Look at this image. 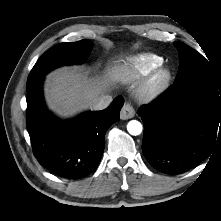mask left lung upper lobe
Here are the masks:
<instances>
[{
	"mask_svg": "<svg viewBox=\"0 0 221 221\" xmlns=\"http://www.w3.org/2000/svg\"><path fill=\"white\" fill-rule=\"evenodd\" d=\"M174 45L178 49L180 62L174 84L198 81L221 93V74L214 72L207 60L188 45L181 42H174Z\"/></svg>",
	"mask_w": 221,
	"mask_h": 221,
	"instance_id": "1",
	"label": "left lung upper lobe"
}]
</instances>
